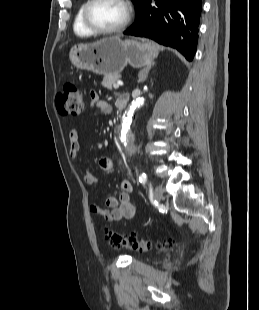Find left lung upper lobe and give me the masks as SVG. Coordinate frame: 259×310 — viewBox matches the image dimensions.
Listing matches in <instances>:
<instances>
[{
	"mask_svg": "<svg viewBox=\"0 0 259 310\" xmlns=\"http://www.w3.org/2000/svg\"><path fill=\"white\" fill-rule=\"evenodd\" d=\"M132 1L134 2L135 6H136V10L138 11L144 0H132Z\"/></svg>",
	"mask_w": 259,
	"mask_h": 310,
	"instance_id": "obj_1",
	"label": "left lung upper lobe"
}]
</instances>
